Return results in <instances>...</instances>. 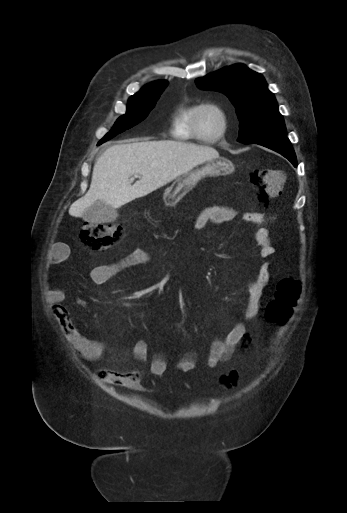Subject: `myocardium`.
<instances>
[{
    "instance_id": "obj_1",
    "label": "myocardium",
    "mask_w": 347,
    "mask_h": 513,
    "mask_svg": "<svg viewBox=\"0 0 347 513\" xmlns=\"http://www.w3.org/2000/svg\"><path fill=\"white\" fill-rule=\"evenodd\" d=\"M205 110H214L218 113V115L221 118L220 131L216 135L209 137V138L203 137L201 135L200 129H199V124H198L199 116ZM228 126H229V115H228L227 110L222 105H220L218 103H214V102H207V103L200 104L196 108V111H195V114L193 117V122H192V130L197 136H199L200 138H203L207 143H215V142L219 141L221 138H223L227 132Z\"/></svg>"
}]
</instances>
